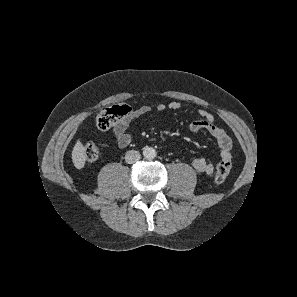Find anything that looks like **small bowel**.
I'll use <instances>...</instances> for the list:
<instances>
[{
  "instance_id": "obj_1",
  "label": "small bowel",
  "mask_w": 297,
  "mask_h": 297,
  "mask_svg": "<svg viewBox=\"0 0 297 297\" xmlns=\"http://www.w3.org/2000/svg\"><path fill=\"white\" fill-rule=\"evenodd\" d=\"M181 108V104L178 101H172L168 104H158L156 110L159 112L169 110H178ZM150 112L149 106H140L136 109L131 110L130 114L121 120L117 121L112 128V132L115 138L116 144L125 148L132 142L133 136L128 132L129 126L132 121L138 119ZM199 119L193 120L189 124V128L193 132L207 131L216 140L220 148L221 160L231 161V148L232 142L227 133L219 126L215 124L213 115L205 109L198 110ZM193 167L200 173L205 175H212L215 170V166L205 160L204 158H195L192 162Z\"/></svg>"
}]
</instances>
